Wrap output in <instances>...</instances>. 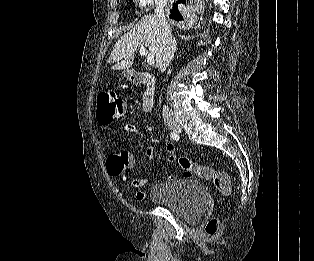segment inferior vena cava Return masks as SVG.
<instances>
[{
	"label": "inferior vena cava",
	"mask_w": 314,
	"mask_h": 261,
	"mask_svg": "<svg viewBox=\"0 0 314 261\" xmlns=\"http://www.w3.org/2000/svg\"><path fill=\"white\" fill-rule=\"evenodd\" d=\"M167 9V0H156L155 14L159 19L161 30L164 37V47L161 56L160 68L165 69L169 66L176 50V40L172 35L171 28L166 21L165 11ZM162 116L165 120L172 119L173 113L166 105L163 106Z\"/></svg>",
	"instance_id": "obj_1"
}]
</instances>
